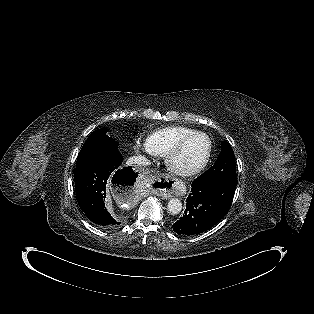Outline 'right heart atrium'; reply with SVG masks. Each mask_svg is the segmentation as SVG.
I'll return each instance as SVG.
<instances>
[{"label": "right heart atrium", "mask_w": 314, "mask_h": 314, "mask_svg": "<svg viewBox=\"0 0 314 314\" xmlns=\"http://www.w3.org/2000/svg\"><path fill=\"white\" fill-rule=\"evenodd\" d=\"M134 148L137 151L145 152L148 155L154 156L153 153L151 152V150L149 149L147 143L145 141H143L141 138H137L134 141Z\"/></svg>", "instance_id": "right-heart-atrium-1"}]
</instances>
